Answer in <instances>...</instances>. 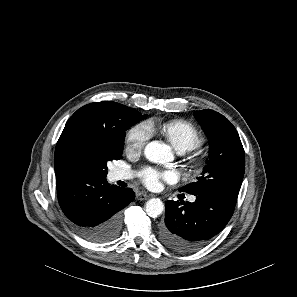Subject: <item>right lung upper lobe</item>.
Returning a JSON list of instances; mask_svg holds the SVG:
<instances>
[{"label":"right lung upper lobe","instance_id":"cb5924a9","mask_svg":"<svg viewBox=\"0 0 297 297\" xmlns=\"http://www.w3.org/2000/svg\"><path fill=\"white\" fill-rule=\"evenodd\" d=\"M123 106L111 101L90 103L70 117L56 144L54 166L57 179L77 173L75 150L80 143L115 142L121 137Z\"/></svg>","mask_w":297,"mask_h":297}]
</instances>
